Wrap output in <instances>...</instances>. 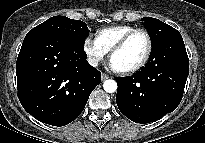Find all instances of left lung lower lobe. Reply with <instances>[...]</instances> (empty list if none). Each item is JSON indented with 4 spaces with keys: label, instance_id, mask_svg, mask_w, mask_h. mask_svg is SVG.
<instances>
[{
    "label": "left lung lower lobe",
    "instance_id": "1",
    "mask_svg": "<svg viewBox=\"0 0 205 143\" xmlns=\"http://www.w3.org/2000/svg\"><path fill=\"white\" fill-rule=\"evenodd\" d=\"M148 67L132 77L116 78V103L127 118L150 123L179 105L189 74V60L181 34L168 35L152 47Z\"/></svg>",
    "mask_w": 205,
    "mask_h": 143
}]
</instances>
